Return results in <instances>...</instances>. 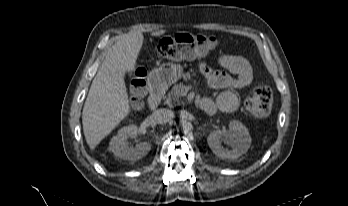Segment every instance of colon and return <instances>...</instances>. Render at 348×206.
<instances>
[{"label": "colon", "instance_id": "obj_1", "mask_svg": "<svg viewBox=\"0 0 348 206\" xmlns=\"http://www.w3.org/2000/svg\"><path fill=\"white\" fill-rule=\"evenodd\" d=\"M198 37L187 33H178L162 39L157 47L158 54L168 60H182L191 55V47ZM146 72L137 70L131 84L134 104H138L145 93ZM273 106V94L267 86H257L247 96L245 107L254 118L267 116Z\"/></svg>", "mask_w": 348, "mask_h": 206}]
</instances>
